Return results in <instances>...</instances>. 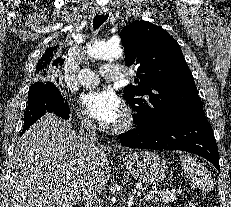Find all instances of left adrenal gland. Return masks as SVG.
<instances>
[{"label":"left adrenal gland","mask_w":231,"mask_h":207,"mask_svg":"<svg viewBox=\"0 0 231 207\" xmlns=\"http://www.w3.org/2000/svg\"><path fill=\"white\" fill-rule=\"evenodd\" d=\"M139 206L141 207V202L139 203Z\"/></svg>","instance_id":"obj_1"}]
</instances>
